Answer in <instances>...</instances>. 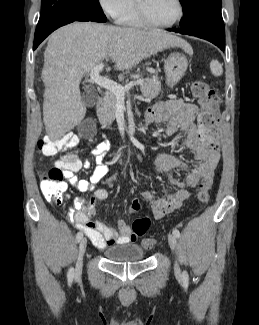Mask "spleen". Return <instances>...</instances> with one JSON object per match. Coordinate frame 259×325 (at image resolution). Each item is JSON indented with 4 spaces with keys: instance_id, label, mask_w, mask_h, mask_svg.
Masks as SVG:
<instances>
[{
    "instance_id": "spleen-1",
    "label": "spleen",
    "mask_w": 259,
    "mask_h": 325,
    "mask_svg": "<svg viewBox=\"0 0 259 325\" xmlns=\"http://www.w3.org/2000/svg\"><path fill=\"white\" fill-rule=\"evenodd\" d=\"M210 70L214 76H221L223 74L222 65L217 60L210 62Z\"/></svg>"
}]
</instances>
